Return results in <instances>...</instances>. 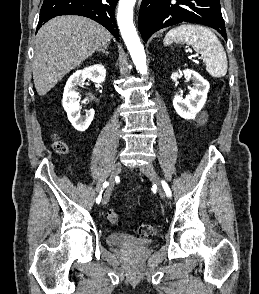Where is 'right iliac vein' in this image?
<instances>
[{
  "label": "right iliac vein",
  "mask_w": 259,
  "mask_h": 294,
  "mask_svg": "<svg viewBox=\"0 0 259 294\" xmlns=\"http://www.w3.org/2000/svg\"><path fill=\"white\" fill-rule=\"evenodd\" d=\"M122 170V164L121 163H116L113 166L112 172H111V176H110V183L103 195V200L102 203L103 205H106L109 202L112 190H113V183H114V179L120 174Z\"/></svg>",
  "instance_id": "obj_1"
}]
</instances>
